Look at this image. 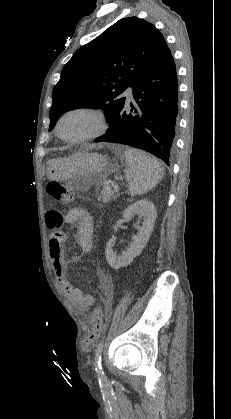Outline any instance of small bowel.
<instances>
[{
    "label": "small bowel",
    "mask_w": 231,
    "mask_h": 419,
    "mask_svg": "<svg viewBox=\"0 0 231 419\" xmlns=\"http://www.w3.org/2000/svg\"><path fill=\"white\" fill-rule=\"evenodd\" d=\"M79 224L77 242L84 252H90L92 248L93 220L83 209H72L67 214L49 212L46 215V224L51 229H56L62 224ZM67 235L62 231H54L49 241V254L55 276L63 287L66 295L77 307L80 314H85L95 304V298L80 288L73 287L67 273V261L64 256V245ZM80 260V258H76ZM102 286L109 298L112 297V286L104 274H100Z\"/></svg>",
    "instance_id": "c3829d8e"
}]
</instances>
